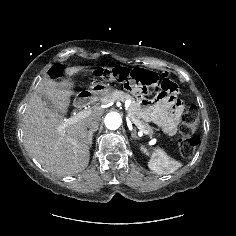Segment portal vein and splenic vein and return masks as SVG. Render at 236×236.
Segmentation results:
<instances>
[{"instance_id": "1", "label": "portal vein and splenic vein", "mask_w": 236, "mask_h": 236, "mask_svg": "<svg viewBox=\"0 0 236 236\" xmlns=\"http://www.w3.org/2000/svg\"><path fill=\"white\" fill-rule=\"evenodd\" d=\"M126 107L129 106L128 102H125ZM92 114V110H82L79 113H77L76 115L68 118V119H64V122L62 123V125L59 127V130L62 131V129H64L65 127L72 125L74 123H77L78 121L90 116ZM130 120L137 126V128L141 131L144 132V134H148L147 132L143 131L142 125L141 123L133 118L132 116L129 117Z\"/></svg>"}]
</instances>
